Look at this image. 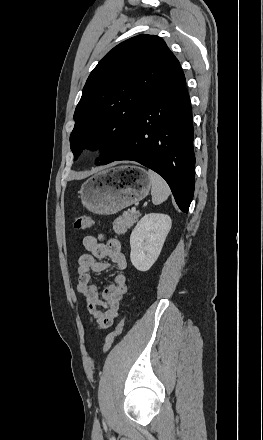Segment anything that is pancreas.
I'll use <instances>...</instances> for the list:
<instances>
[{"instance_id": "obj_1", "label": "pancreas", "mask_w": 263, "mask_h": 440, "mask_svg": "<svg viewBox=\"0 0 263 440\" xmlns=\"http://www.w3.org/2000/svg\"><path fill=\"white\" fill-rule=\"evenodd\" d=\"M139 216L140 214L137 212H128L116 218L113 222V229L115 233L118 235L125 234L127 230L131 228L135 222H137Z\"/></svg>"}]
</instances>
